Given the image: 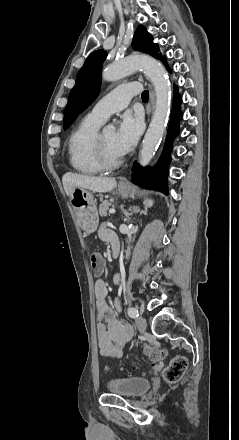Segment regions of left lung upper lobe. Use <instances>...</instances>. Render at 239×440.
Wrapping results in <instances>:
<instances>
[{
	"label": "left lung upper lobe",
	"mask_w": 239,
	"mask_h": 440,
	"mask_svg": "<svg viewBox=\"0 0 239 440\" xmlns=\"http://www.w3.org/2000/svg\"><path fill=\"white\" fill-rule=\"evenodd\" d=\"M132 46L135 50L148 53L157 59L163 58L161 54H158V45L153 43V37L142 25L135 32ZM106 55L104 50L92 52L79 70L75 86L69 94L65 107L64 129H67L76 116L96 99L101 85V67Z\"/></svg>",
	"instance_id": "left-lung-upper-lobe-1"
}]
</instances>
